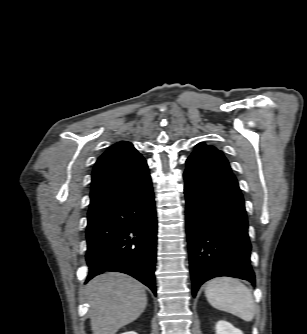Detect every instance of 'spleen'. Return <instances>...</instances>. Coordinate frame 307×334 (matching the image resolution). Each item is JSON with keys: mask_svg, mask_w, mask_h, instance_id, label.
<instances>
[{"mask_svg": "<svg viewBox=\"0 0 307 334\" xmlns=\"http://www.w3.org/2000/svg\"><path fill=\"white\" fill-rule=\"evenodd\" d=\"M208 302L216 309L250 322L255 315L251 291L239 280L230 277L212 279L205 287Z\"/></svg>", "mask_w": 307, "mask_h": 334, "instance_id": "spleen-1", "label": "spleen"}]
</instances>
